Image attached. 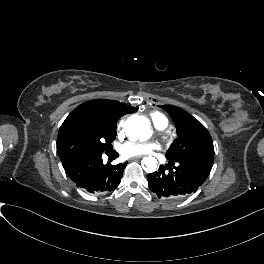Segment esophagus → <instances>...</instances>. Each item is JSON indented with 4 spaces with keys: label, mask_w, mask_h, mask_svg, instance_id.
I'll return each instance as SVG.
<instances>
[{
    "label": "esophagus",
    "mask_w": 264,
    "mask_h": 264,
    "mask_svg": "<svg viewBox=\"0 0 264 264\" xmlns=\"http://www.w3.org/2000/svg\"><path fill=\"white\" fill-rule=\"evenodd\" d=\"M140 159V157H133V160H138Z\"/></svg>",
    "instance_id": "34e87169"
}]
</instances>
